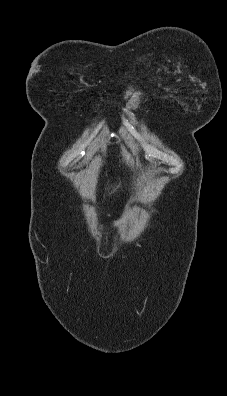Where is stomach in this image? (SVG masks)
I'll return each instance as SVG.
<instances>
[{
  "label": "stomach",
  "mask_w": 227,
  "mask_h": 396,
  "mask_svg": "<svg viewBox=\"0 0 227 396\" xmlns=\"http://www.w3.org/2000/svg\"><path fill=\"white\" fill-rule=\"evenodd\" d=\"M117 223L116 222H113V225L115 226Z\"/></svg>",
  "instance_id": "obj_1"
}]
</instances>
